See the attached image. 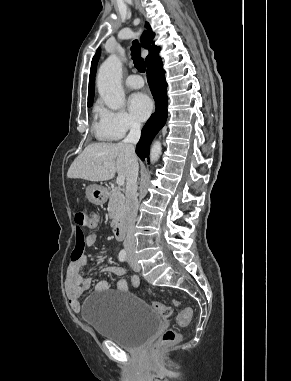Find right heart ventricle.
I'll list each match as a JSON object with an SVG mask.
<instances>
[{"instance_id":"right-heart-ventricle-1","label":"right heart ventricle","mask_w":291,"mask_h":381,"mask_svg":"<svg viewBox=\"0 0 291 381\" xmlns=\"http://www.w3.org/2000/svg\"><path fill=\"white\" fill-rule=\"evenodd\" d=\"M95 113H99V108H95ZM94 130H95V133L100 136L101 138H104V139H110L104 132L102 126H101V123L100 121L99 122H95L94 124Z\"/></svg>"}]
</instances>
